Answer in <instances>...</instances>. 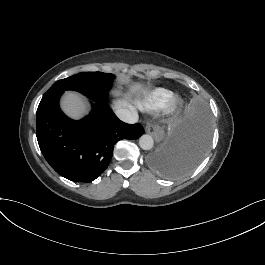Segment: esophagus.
I'll return each mask as SVG.
<instances>
[{"instance_id":"1","label":"esophagus","mask_w":265,"mask_h":265,"mask_svg":"<svg viewBox=\"0 0 265 265\" xmlns=\"http://www.w3.org/2000/svg\"><path fill=\"white\" fill-rule=\"evenodd\" d=\"M146 132L151 134L156 141L162 140L165 135V130L161 126L151 123L147 124Z\"/></svg>"}]
</instances>
